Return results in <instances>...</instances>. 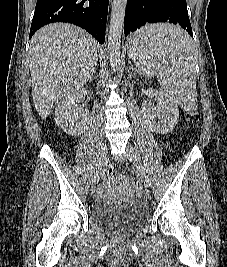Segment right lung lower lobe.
Segmentation results:
<instances>
[{
  "instance_id": "obj_1",
  "label": "right lung lower lobe",
  "mask_w": 227,
  "mask_h": 267,
  "mask_svg": "<svg viewBox=\"0 0 227 267\" xmlns=\"http://www.w3.org/2000/svg\"><path fill=\"white\" fill-rule=\"evenodd\" d=\"M108 3L109 0H37L29 38L46 24L68 22L85 29L103 44Z\"/></svg>"
}]
</instances>
